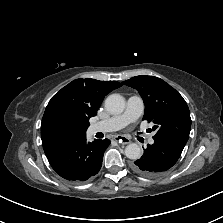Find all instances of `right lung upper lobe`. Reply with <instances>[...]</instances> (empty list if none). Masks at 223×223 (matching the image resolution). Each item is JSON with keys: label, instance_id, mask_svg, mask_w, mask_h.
<instances>
[{"label": "right lung upper lobe", "instance_id": "cb5924a9", "mask_svg": "<svg viewBox=\"0 0 223 223\" xmlns=\"http://www.w3.org/2000/svg\"><path fill=\"white\" fill-rule=\"evenodd\" d=\"M116 81L76 79L49 101L41 124L44 151L86 137L89 119L96 115L104 97L121 87Z\"/></svg>", "mask_w": 223, "mask_h": 223}]
</instances>
